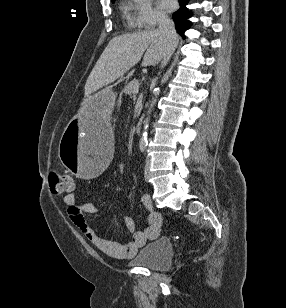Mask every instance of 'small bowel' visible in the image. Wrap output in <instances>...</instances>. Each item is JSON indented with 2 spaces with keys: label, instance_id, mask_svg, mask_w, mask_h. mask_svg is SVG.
<instances>
[{
  "label": "small bowel",
  "instance_id": "1",
  "mask_svg": "<svg viewBox=\"0 0 286 308\" xmlns=\"http://www.w3.org/2000/svg\"><path fill=\"white\" fill-rule=\"evenodd\" d=\"M63 201L68 217L82 235L99 250L116 258H130L134 256L138 249L143 247L147 241L158 237L162 225L161 215L152 210L150 197L143 195L140 201L149 211L147 226L142 231H136L133 219L125 217L123 220L124 225L130 231L131 239L125 242L113 241L96 232L84 217L86 213H95L98 210L96 205L78 202L73 193L65 195Z\"/></svg>",
  "mask_w": 286,
  "mask_h": 308
}]
</instances>
